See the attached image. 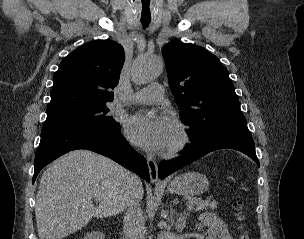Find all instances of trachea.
Listing matches in <instances>:
<instances>
[{
	"label": "trachea",
	"mask_w": 304,
	"mask_h": 239,
	"mask_svg": "<svg viewBox=\"0 0 304 239\" xmlns=\"http://www.w3.org/2000/svg\"><path fill=\"white\" fill-rule=\"evenodd\" d=\"M152 0H141L139 7L140 22L144 27L148 26L153 19V12L151 11Z\"/></svg>",
	"instance_id": "1"
}]
</instances>
